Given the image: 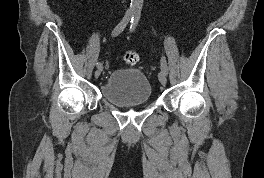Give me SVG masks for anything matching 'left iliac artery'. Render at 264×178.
Masks as SVG:
<instances>
[{
	"label": "left iliac artery",
	"instance_id": "1",
	"mask_svg": "<svg viewBox=\"0 0 264 178\" xmlns=\"http://www.w3.org/2000/svg\"><path fill=\"white\" fill-rule=\"evenodd\" d=\"M140 19V11H135L131 19L130 31L133 32L138 24ZM161 70L166 74L168 73V66L164 57L161 58Z\"/></svg>",
	"mask_w": 264,
	"mask_h": 178
}]
</instances>
